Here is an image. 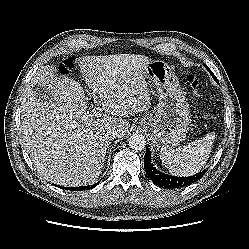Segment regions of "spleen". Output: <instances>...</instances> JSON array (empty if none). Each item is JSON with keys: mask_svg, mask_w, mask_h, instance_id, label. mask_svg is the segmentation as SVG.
Returning <instances> with one entry per match:
<instances>
[{"mask_svg": "<svg viewBox=\"0 0 249 249\" xmlns=\"http://www.w3.org/2000/svg\"><path fill=\"white\" fill-rule=\"evenodd\" d=\"M214 139L215 133L211 132L182 148L162 147L160 150L161 162L175 176L194 175L200 172L206 164Z\"/></svg>", "mask_w": 249, "mask_h": 249, "instance_id": "spleen-1", "label": "spleen"}]
</instances>
